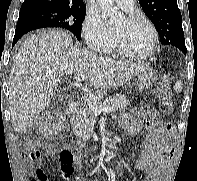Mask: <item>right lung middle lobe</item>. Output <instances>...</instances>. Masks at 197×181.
Returning a JSON list of instances; mask_svg holds the SVG:
<instances>
[{
    "label": "right lung middle lobe",
    "mask_w": 197,
    "mask_h": 181,
    "mask_svg": "<svg viewBox=\"0 0 197 181\" xmlns=\"http://www.w3.org/2000/svg\"><path fill=\"white\" fill-rule=\"evenodd\" d=\"M20 12L41 17L53 23L54 27L71 31L77 40L81 39V26L85 18L86 8L36 5Z\"/></svg>",
    "instance_id": "dd1d6c3e"
}]
</instances>
